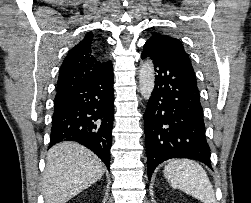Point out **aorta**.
<instances>
[{
    "mask_svg": "<svg viewBox=\"0 0 251 203\" xmlns=\"http://www.w3.org/2000/svg\"><path fill=\"white\" fill-rule=\"evenodd\" d=\"M139 90L144 99H149L155 85V74L153 63L145 60L140 65L139 70Z\"/></svg>",
    "mask_w": 251,
    "mask_h": 203,
    "instance_id": "obj_1",
    "label": "aorta"
}]
</instances>
